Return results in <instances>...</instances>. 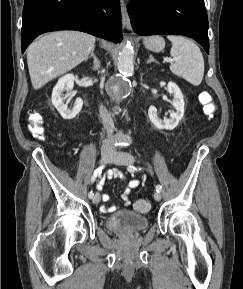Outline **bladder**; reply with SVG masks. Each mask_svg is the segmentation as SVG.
I'll list each match as a JSON object with an SVG mask.
<instances>
[{
    "instance_id": "obj_1",
    "label": "bladder",
    "mask_w": 243,
    "mask_h": 289,
    "mask_svg": "<svg viewBox=\"0 0 243 289\" xmlns=\"http://www.w3.org/2000/svg\"><path fill=\"white\" fill-rule=\"evenodd\" d=\"M105 225L113 232L135 233L145 230L149 226V219L143 214L123 210L109 215Z\"/></svg>"
}]
</instances>
